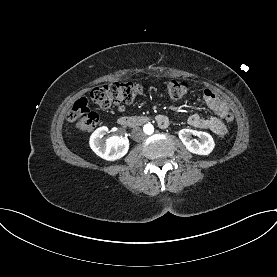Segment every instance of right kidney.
<instances>
[{"label": "right kidney", "instance_id": "right-kidney-1", "mask_svg": "<svg viewBox=\"0 0 277 277\" xmlns=\"http://www.w3.org/2000/svg\"><path fill=\"white\" fill-rule=\"evenodd\" d=\"M108 127L97 128L90 137V147L99 157L114 161L125 156L129 149V140L126 137L112 136L104 139Z\"/></svg>", "mask_w": 277, "mask_h": 277}]
</instances>
